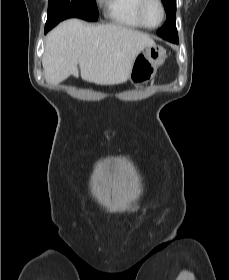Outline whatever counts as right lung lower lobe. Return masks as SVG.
I'll use <instances>...</instances> for the list:
<instances>
[{
  "label": "right lung lower lobe",
  "instance_id": "98d812e1",
  "mask_svg": "<svg viewBox=\"0 0 229 280\" xmlns=\"http://www.w3.org/2000/svg\"><path fill=\"white\" fill-rule=\"evenodd\" d=\"M48 30L45 28V32H47Z\"/></svg>",
  "mask_w": 229,
  "mask_h": 280
}]
</instances>
